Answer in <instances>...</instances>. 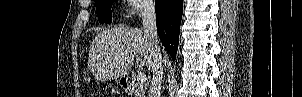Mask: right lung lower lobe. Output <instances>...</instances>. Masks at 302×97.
Segmentation results:
<instances>
[{
  "label": "right lung lower lobe",
  "mask_w": 302,
  "mask_h": 97,
  "mask_svg": "<svg viewBox=\"0 0 302 97\" xmlns=\"http://www.w3.org/2000/svg\"><path fill=\"white\" fill-rule=\"evenodd\" d=\"M155 11L158 35L174 61L178 49L183 0H156Z\"/></svg>",
  "instance_id": "1"
}]
</instances>
